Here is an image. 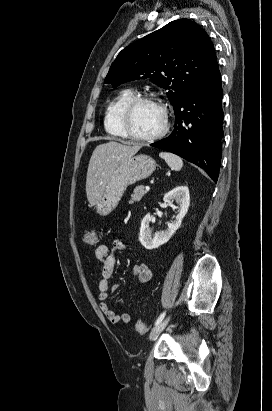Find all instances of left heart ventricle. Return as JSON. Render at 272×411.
<instances>
[{
    "instance_id": "b2bd125f",
    "label": "left heart ventricle",
    "mask_w": 272,
    "mask_h": 411,
    "mask_svg": "<svg viewBox=\"0 0 272 411\" xmlns=\"http://www.w3.org/2000/svg\"><path fill=\"white\" fill-rule=\"evenodd\" d=\"M163 124V116L160 108L153 103L138 104L131 115L130 127L140 136L155 134Z\"/></svg>"
}]
</instances>
